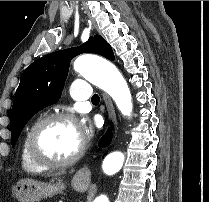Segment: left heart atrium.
I'll use <instances>...</instances> for the list:
<instances>
[{
    "label": "left heart atrium",
    "instance_id": "39dd6f15",
    "mask_svg": "<svg viewBox=\"0 0 209 202\" xmlns=\"http://www.w3.org/2000/svg\"><path fill=\"white\" fill-rule=\"evenodd\" d=\"M78 131H79L80 136L83 137L84 132H85L84 126L79 124L78 125Z\"/></svg>",
    "mask_w": 209,
    "mask_h": 202
}]
</instances>
